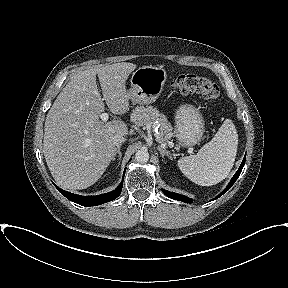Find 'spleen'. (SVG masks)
I'll return each instance as SVG.
<instances>
[{
  "instance_id": "spleen-1",
  "label": "spleen",
  "mask_w": 288,
  "mask_h": 288,
  "mask_svg": "<svg viewBox=\"0 0 288 288\" xmlns=\"http://www.w3.org/2000/svg\"><path fill=\"white\" fill-rule=\"evenodd\" d=\"M238 146L235 125L226 119L212 140L197 154L178 160L181 172L192 182L211 186L224 180L231 171Z\"/></svg>"
}]
</instances>
